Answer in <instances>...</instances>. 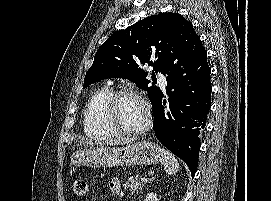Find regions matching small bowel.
Returning <instances> with one entry per match:
<instances>
[{"instance_id": "1", "label": "small bowel", "mask_w": 271, "mask_h": 201, "mask_svg": "<svg viewBox=\"0 0 271 201\" xmlns=\"http://www.w3.org/2000/svg\"><path fill=\"white\" fill-rule=\"evenodd\" d=\"M110 190L117 196L123 195L122 183L119 178H112L109 182Z\"/></svg>"}]
</instances>
